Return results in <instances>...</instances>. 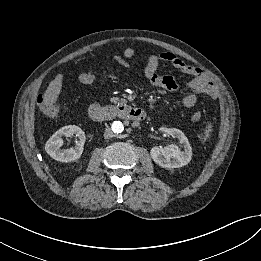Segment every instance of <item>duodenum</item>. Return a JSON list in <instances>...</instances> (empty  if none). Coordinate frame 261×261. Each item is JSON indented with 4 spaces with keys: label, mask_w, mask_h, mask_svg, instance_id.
I'll return each mask as SVG.
<instances>
[{
    "label": "duodenum",
    "mask_w": 261,
    "mask_h": 261,
    "mask_svg": "<svg viewBox=\"0 0 261 261\" xmlns=\"http://www.w3.org/2000/svg\"><path fill=\"white\" fill-rule=\"evenodd\" d=\"M90 116L97 121H105L120 117L134 122H140L145 118V113L143 110L131 105H123L118 109L113 107L103 108L98 105H93L90 109Z\"/></svg>",
    "instance_id": "obj_1"
}]
</instances>
